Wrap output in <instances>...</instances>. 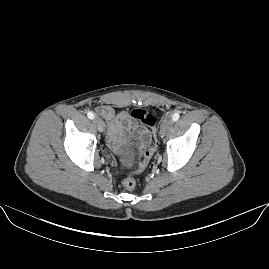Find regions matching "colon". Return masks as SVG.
<instances>
[{
	"label": "colon",
	"instance_id": "5ec220e1",
	"mask_svg": "<svg viewBox=\"0 0 269 269\" xmlns=\"http://www.w3.org/2000/svg\"><path fill=\"white\" fill-rule=\"evenodd\" d=\"M131 116L135 121L145 124L149 131L144 139V143L147 148L144 151L143 160L139 163L138 171H143L149 162V159L153 155L157 145V119L156 117L144 108H133L131 111ZM137 182L132 176H127L122 181V186L127 191H132L136 188Z\"/></svg>",
	"mask_w": 269,
	"mask_h": 269
}]
</instances>
